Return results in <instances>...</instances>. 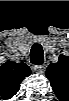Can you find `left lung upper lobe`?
I'll return each instance as SVG.
<instances>
[{
	"label": "left lung upper lobe",
	"mask_w": 69,
	"mask_h": 101,
	"mask_svg": "<svg viewBox=\"0 0 69 101\" xmlns=\"http://www.w3.org/2000/svg\"><path fill=\"white\" fill-rule=\"evenodd\" d=\"M57 97L69 84V58L60 55L57 63H51L45 73Z\"/></svg>",
	"instance_id": "left-lung-upper-lobe-1"
}]
</instances>
